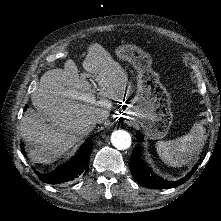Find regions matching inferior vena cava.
<instances>
[{
  "mask_svg": "<svg viewBox=\"0 0 221 221\" xmlns=\"http://www.w3.org/2000/svg\"><path fill=\"white\" fill-rule=\"evenodd\" d=\"M104 114H105V110L104 111H101V112H98L94 115H92L90 117V123L94 126L96 123H98V121L104 117Z\"/></svg>",
  "mask_w": 221,
  "mask_h": 221,
  "instance_id": "inferior-vena-cava-1",
  "label": "inferior vena cava"
}]
</instances>
